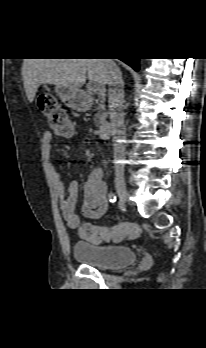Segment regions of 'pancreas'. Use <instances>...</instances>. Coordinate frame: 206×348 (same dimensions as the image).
I'll list each match as a JSON object with an SVG mask.
<instances>
[{
  "instance_id": "1",
  "label": "pancreas",
  "mask_w": 206,
  "mask_h": 348,
  "mask_svg": "<svg viewBox=\"0 0 206 348\" xmlns=\"http://www.w3.org/2000/svg\"><path fill=\"white\" fill-rule=\"evenodd\" d=\"M95 111V123L96 125H99L103 119L107 117V112L103 101H100Z\"/></svg>"
}]
</instances>
